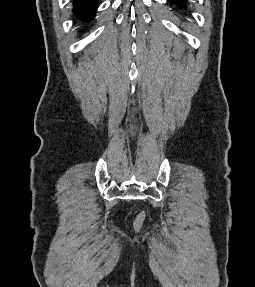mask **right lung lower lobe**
<instances>
[{
	"instance_id": "obj_1",
	"label": "right lung lower lobe",
	"mask_w": 255,
	"mask_h": 287,
	"mask_svg": "<svg viewBox=\"0 0 255 287\" xmlns=\"http://www.w3.org/2000/svg\"><path fill=\"white\" fill-rule=\"evenodd\" d=\"M98 7V0H73V11L82 21L92 20Z\"/></svg>"
}]
</instances>
